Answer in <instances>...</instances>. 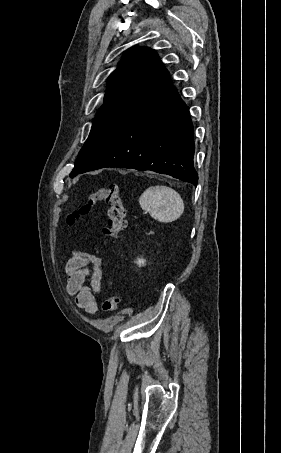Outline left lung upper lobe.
Masks as SVG:
<instances>
[{
	"label": "left lung upper lobe",
	"mask_w": 281,
	"mask_h": 453,
	"mask_svg": "<svg viewBox=\"0 0 281 453\" xmlns=\"http://www.w3.org/2000/svg\"><path fill=\"white\" fill-rule=\"evenodd\" d=\"M164 66L154 50L134 47L110 75L104 102L70 173L84 168L133 112Z\"/></svg>",
	"instance_id": "1"
}]
</instances>
